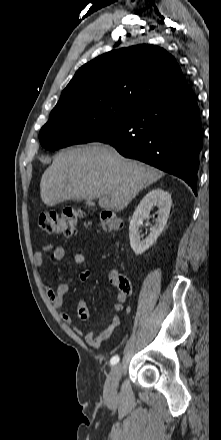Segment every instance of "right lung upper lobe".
Wrapping results in <instances>:
<instances>
[{"instance_id": "cb5924a9", "label": "right lung upper lobe", "mask_w": 221, "mask_h": 440, "mask_svg": "<svg viewBox=\"0 0 221 440\" xmlns=\"http://www.w3.org/2000/svg\"><path fill=\"white\" fill-rule=\"evenodd\" d=\"M186 86L179 65L166 50L136 45L105 53L79 68L54 109L99 102L137 108Z\"/></svg>"}]
</instances>
